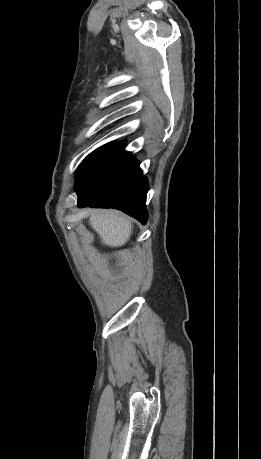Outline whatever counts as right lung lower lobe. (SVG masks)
Returning a JSON list of instances; mask_svg holds the SVG:
<instances>
[{
  "mask_svg": "<svg viewBox=\"0 0 261 459\" xmlns=\"http://www.w3.org/2000/svg\"><path fill=\"white\" fill-rule=\"evenodd\" d=\"M147 192V178L142 175L138 161L130 156L88 196L78 198V207L116 208L146 223Z\"/></svg>",
  "mask_w": 261,
  "mask_h": 459,
  "instance_id": "1",
  "label": "right lung lower lobe"
}]
</instances>
